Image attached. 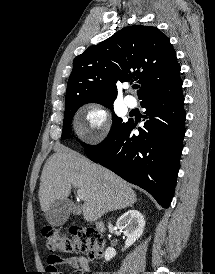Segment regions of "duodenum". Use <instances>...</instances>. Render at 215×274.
<instances>
[{"mask_svg":"<svg viewBox=\"0 0 215 274\" xmlns=\"http://www.w3.org/2000/svg\"><path fill=\"white\" fill-rule=\"evenodd\" d=\"M95 228L98 232L103 233L104 232V225L100 221L95 222Z\"/></svg>","mask_w":215,"mask_h":274,"instance_id":"duodenum-1","label":"duodenum"}]
</instances>
